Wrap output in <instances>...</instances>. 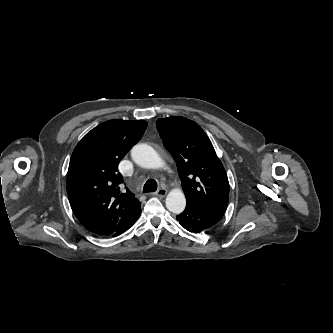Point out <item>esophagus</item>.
<instances>
[{
  "mask_svg": "<svg viewBox=\"0 0 333 333\" xmlns=\"http://www.w3.org/2000/svg\"><path fill=\"white\" fill-rule=\"evenodd\" d=\"M153 195L163 198L167 195V190L164 188L159 189L157 192H155Z\"/></svg>",
  "mask_w": 333,
  "mask_h": 333,
  "instance_id": "1",
  "label": "esophagus"
}]
</instances>
